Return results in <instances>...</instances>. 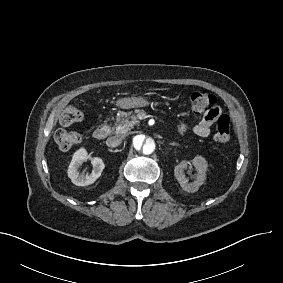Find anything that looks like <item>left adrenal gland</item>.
<instances>
[{
  "label": "left adrenal gland",
  "mask_w": 283,
  "mask_h": 283,
  "mask_svg": "<svg viewBox=\"0 0 283 283\" xmlns=\"http://www.w3.org/2000/svg\"><path fill=\"white\" fill-rule=\"evenodd\" d=\"M169 145H170V146H179V144L174 143V142L170 143Z\"/></svg>",
  "instance_id": "left-adrenal-gland-1"
}]
</instances>
